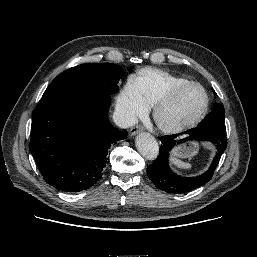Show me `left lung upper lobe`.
Listing matches in <instances>:
<instances>
[{"mask_svg": "<svg viewBox=\"0 0 257 257\" xmlns=\"http://www.w3.org/2000/svg\"><path fill=\"white\" fill-rule=\"evenodd\" d=\"M224 120V107L222 104L216 103L212 109V112L201 121V123L199 124V128L216 132H226Z\"/></svg>", "mask_w": 257, "mask_h": 257, "instance_id": "5c2ea615", "label": "left lung upper lobe"}]
</instances>
